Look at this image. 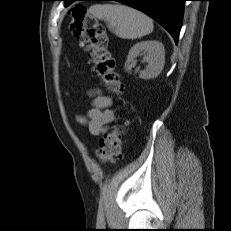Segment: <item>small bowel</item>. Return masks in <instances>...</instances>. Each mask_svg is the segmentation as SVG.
Returning <instances> with one entry per match:
<instances>
[{
	"mask_svg": "<svg viewBox=\"0 0 231 231\" xmlns=\"http://www.w3.org/2000/svg\"><path fill=\"white\" fill-rule=\"evenodd\" d=\"M90 95L93 96L92 108L85 116H78L76 120L79 124L85 126L90 134L100 136L116 120V113L111 108V99L99 90L91 91Z\"/></svg>",
	"mask_w": 231,
	"mask_h": 231,
	"instance_id": "1",
	"label": "small bowel"
}]
</instances>
